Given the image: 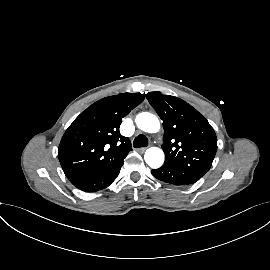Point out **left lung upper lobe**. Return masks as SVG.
<instances>
[{
	"mask_svg": "<svg viewBox=\"0 0 270 270\" xmlns=\"http://www.w3.org/2000/svg\"><path fill=\"white\" fill-rule=\"evenodd\" d=\"M163 120L165 165L182 168L201 178L210 169L217 150L216 134L208 121L180 98L161 92L146 94Z\"/></svg>",
	"mask_w": 270,
	"mask_h": 270,
	"instance_id": "1",
	"label": "left lung upper lobe"
}]
</instances>
